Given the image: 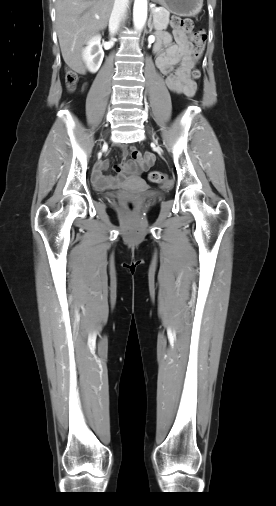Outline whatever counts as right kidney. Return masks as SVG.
Wrapping results in <instances>:
<instances>
[{
	"instance_id": "1",
	"label": "right kidney",
	"mask_w": 276,
	"mask_h": 506,
	"mask_svg": "<svg viewBox=\"0 0 276 506\" xmlns=\"http://www.w3.org/2000/svg\"><path fill=\"white\" fill-rule=\"evenodd\" d=\"M100 40L101 36L98 34L91 36L82 52L86 67L92 73L98 71L104 58V51L100 45Z\"/></svg>"
}]
</instances>
